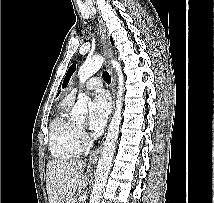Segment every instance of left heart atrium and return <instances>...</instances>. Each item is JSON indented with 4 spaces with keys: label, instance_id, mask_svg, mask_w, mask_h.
Listing matches in <instances>:
<instances>
[{
    "label": "left heart atrium",
    "instance_id": "left-heart-atrium-1",
    "mask_svg": "<svg viewBox=\"0 0 214 203\" xmlns=\"http://www.w3.org/2000/svg\"><path fill=\"white\" fill-rule=\"evenodd\" d=\"M110 113V101L104 91H98L93 99L90 114L89 126L92 130L102 129L107 121Z\"/></svg>",
    "mask_w": 214,
    "mask_h": 203
}]
</instances>
